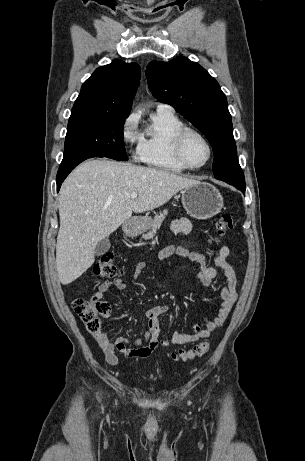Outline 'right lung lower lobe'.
<instances>
[{"instance_id":"right-lung-lower-lobe-1","label":"right lung lower lobe","mask_w":305,"mask_h":461,"mask_svg":"<svg viewBox=\"0 0 305 461\" xmlns=\"http://www.w3.org/2000/svg\"><path fill=\"white\" fill-rule=\"evenodd\" d=\"M82 161L75 162L73 164L67 165V166H61L58 170L57 173V191H59L60 186L64 179L67 177V175Z\"/></svg>"}]
</instances>
